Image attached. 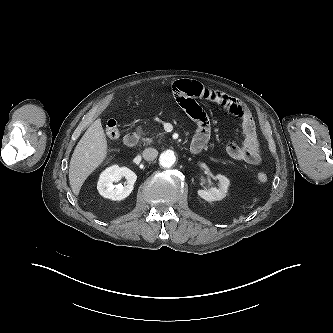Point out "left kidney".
Returning <instances> with one entry per match:
<instances>
[{
    "instance_id": "1",
    "label": "left kidney",
    "mask_w": 333,
    "mask_h": 333,
    "mask_svg": "<svg viewBox=\"0 0 333 333\" xmlns=\"http://www.w3.org/2000/svg\"><path fill=\"white\" fill-rule=\"evenodd\" d=\"M219 181L218 188H211L210 190H198V195L208 202L222 200L228 191L230 181L224 175L218 174L215 177Z\"/></svg>"
}]
</instances>
